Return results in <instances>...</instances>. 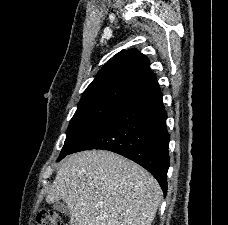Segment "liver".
Returning <instances> with one entry per match:
<instances>
[{"mask_svg":"<svg viewBox=\"0 0 228 225\" xmlns=\"http://www.w3.org/2000/svg\"><path fill=\"white\" fill-rule=\"evenodd\" d=\"M64 201L70 225H152L162 191L145 169L111 151L68 155L47 191Z\"/></svg>","mask_w":228,"mask_h":225,"instance_id":"liver-1","label":"liver"}]
</instances>
